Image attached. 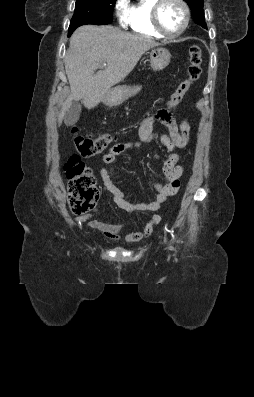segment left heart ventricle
<instances>
[{
	"instance_id": "left-heart-ventricle-1",
	"label": "left heart ventricle",
	"mask_w": 254,
	"mask_h": 397,
	"mask_svg": "<svg viewBox=\"0 0 254 397\" xmlns=\"http://www.w3.org/2000/svg\"><path fill=\"white\" fill-rule=\"evenodd\" d=\"M184 20L183 8L175 0H167L160 11V21L163 28L169 33L177 32Z\"/></svg>"
}]
</instances>
